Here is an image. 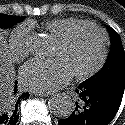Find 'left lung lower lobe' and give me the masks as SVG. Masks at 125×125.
Instances as JSON below:
<instances>
[{
    "label": "left lung lower lobe",
    "instance_id": "0a47b994",
    "mask_svg": "<svg viewBox=\"0 0 125 125\" xmlns=\"http://www.w3.org/2000/svg\"><path fill=\"white\" fill-rule=\"evenodd\" d=\"M125 78L88 86L82 82L75 90L76 109L59 125H107L115 117L123 97Z\"/></svg>",
    "mask_w": 125,
    "mask_h": 125
}]
</instances>
